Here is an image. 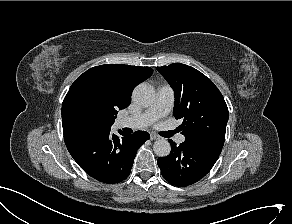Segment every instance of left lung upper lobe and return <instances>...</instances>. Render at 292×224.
Listing matches in <instances>:
<instances>
[{
    "label": "left lung upper lobe",
    "instance_id": "5c2ea615",
    "mask_svg": "<svg viewBox=\"0 0 292 224\" xmlns=\"http://www.w3.org/2000/svg\"><path fill=\"white\" fill-rule=\"evenodd\" d=\"M157 70L174 90L173 114L183 120L179 128L184 143L218 158L229 117L221 92L208 77L185 64L174 63Z\"/></svg>",
    "mask_w": 292,
    "mask_h": 224
}]
</instances>
